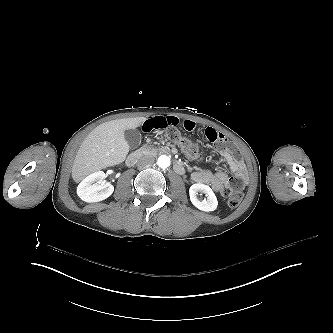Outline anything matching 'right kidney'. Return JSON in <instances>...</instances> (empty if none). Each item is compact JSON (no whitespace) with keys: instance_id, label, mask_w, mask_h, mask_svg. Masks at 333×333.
Returning a JSON list of instances; mask_svg holds the SVG:
<instances>
[{"instance_id":"obj_1","label":"right kidney","mask_w":333,"mask_h":333,"mask_svg":"<svg viewBox=\"0 0 333 333\" xmlns=\"http://www.w3.org/2000/svg\"><path fill=\"white\" fill-rule=\"evenodd\" d=\"M103 171L95 172L86 177L78 186V196L87 203L100 202L110 197L114 192V186L110 183L96 184L98 180H105Z\"/></svg>"}]
</instances>
